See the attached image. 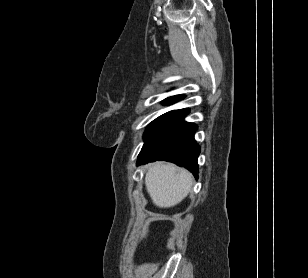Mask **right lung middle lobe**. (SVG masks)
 Returning a JSON list of instances; mask_svg holds the SVG:
<instances>
[{
  "label": "right lung middle lobe",
  "mask_w": 308,
  "mask_h": 278,
  "mask_svg": "<svg viewBox=\"0 0 308 278\" xmlns=\"http://www.w3.org/2000/svg\"><path fill=\"white\" fill-rule=\"evenodd\" d=\"M177 117L175 116H160L152 121L144 134V142H147L163 129H165L169 124H171Z\"/></svg>",
  "instance_id": "dd1d6c3e"
}]
</instances>
